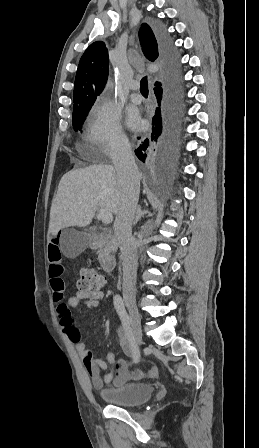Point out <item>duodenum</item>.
Masks as SVG:
<instances>
[{
	"instance_id": "1",
	"label": "duodenum",
	"mask_w": 259,
	"mask_h": 448,
	"mask_svg": "<svg viewBox=\"0 0 259 448\" xmlns=\"http://www.w3.org/2000/svg\"><path fill=\"white\" fill-rule=\"evenodd\" d=\"M116 247V239L107 232H101L95 235L91 242V248L101 250L99 262L101 268L106 273L113 272L116 267V260L112 255Z\"/></svg>"
}]
</instances>
